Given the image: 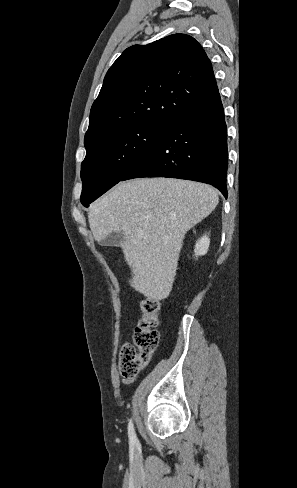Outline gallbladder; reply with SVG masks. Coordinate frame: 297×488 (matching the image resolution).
Returning a JSON list of instances; mask_svg holds the SVG:
<instances>
[{
  "label": "gallbladder",
  "instance_id": "gallbladder-1",
  "mask_svg": "<svg viewBox=\"0 0 297 488\" xmlns=\"http://www.w3.org/2000/svg\"><path fill=\"white\" fill-rule=\"evenodd\" d=\"M124 241L123 232H113L102 240L103 245L118 246Z\"/></svg>",
  "mask_w": 297,
  "mask_h": 488
}]
</instances>
